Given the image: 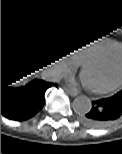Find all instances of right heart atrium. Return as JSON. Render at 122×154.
Wrapping results in <instances>:
<instances>
[{
  "mask_svg": "<svg viewBox=\"0 0 122 154\" xmlns=\"http://www.w3.org/2000/svg\"><path fill=\"white\" fill-rule=\"evenodd\" d=\"M53 70L57 74H62L66 70L75 67V62L68 58L64 51H60L53 59Z\"/></svg>",
  "mask_w": 122,
  "mask_h": 154,
  "instance_id": "obj_1",
  "label": "right heart atrium"
}]
</instances>
